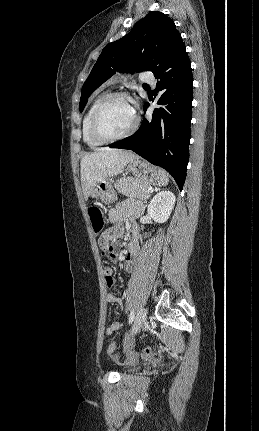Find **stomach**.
Instances as JSON below:
<instances>
[{"label": "stomach", "instance_id": "obj_1", "mask_svg": "<svg viewBox=\"0 0 259 431\" xmlns=\"http://www.w3.org/2000/svg\"><path fill=\"white\" fill-rule=\"evenodd\" d=\"M126 171L131 173L134 178L142 180L149 186L160 182L158 170L148 162L140 160L139 158L129 162L126 166ZM90 196L106 204L113 203L116 200L114 188L109 181L98 183L90 192Z\"/></svg>", "mask_w": 259, "mask_h": 431}]
</instances>
